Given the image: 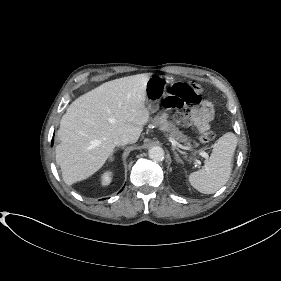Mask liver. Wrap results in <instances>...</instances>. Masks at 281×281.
I'll use <instances>...</instances> for the list:
<instances>
[{"instance_id":"6515ba94","label":"liver","mask_w":281,"mask_h":281,"mask_svg":"<svg viewBox=\"0 0 281 281\" xmlns=\"http://www.w3.org/2000/svg\"><path fill=\"white\" fill-rule=\"evenodd\" d=\"M148 73L115 79L71 103L57 132L56 163L66 184L82 181L98 171L111 156L114 138L138 141L149 120L145 106Z\"/></svg>"}]
</instances>
